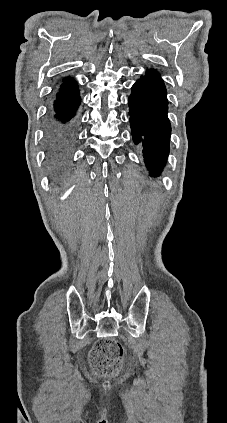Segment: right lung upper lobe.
Listing matches in <instances>:
<instances>
[{
    "mask_svg": "<svg viewBox=\"0 0 227 423\" xmlns=\"http://www.w3.org/2000/svg\"><path fill=\"white\" fill-rule=\"evenodd\" d=\"M62 88L69 89L72 91H78L76 83L68 78L64 79V84H62Z\"/></svg>",
    "mask_w": 227,
    "mask_h": 423,
    "instance_id": "obj_1",
    "label": "right lung upper lobe"
}]
</instances>
